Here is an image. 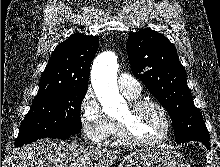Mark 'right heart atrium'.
<instances>
[{
    "label": "right heart atrium",
    "instance_id": "obj_1",
    "mask_svg": "<svg viewBox=\"0 0 220 167\" xmlns=\"http://www.w3.org/2000/svg\"><path fill=\"white\" fill-rule=\"evenodd\" d=\"M79 121L83 135L93 144H102L111 134L114 123L91 89L84 93L80 101Z\"/></svg>",
    "mask_w": 220,
    "mask_h": 167
}]
</instances>
